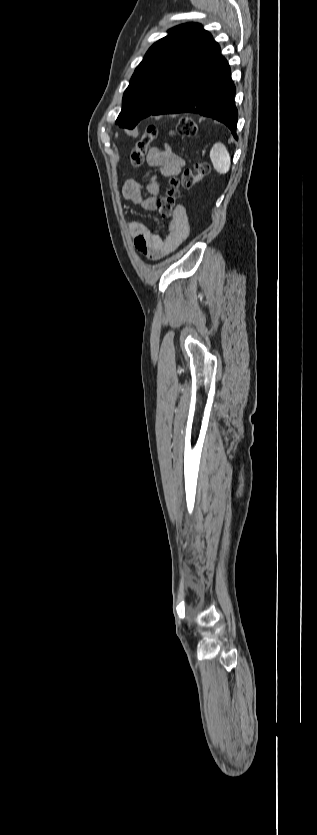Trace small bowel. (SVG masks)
I'll list each match as a JSON object with an SVG mask.
<instances>
[{"instance_id": "obj_1", "label": "small bowel", "mask_w": 317, "mask_h": 835, "mask_svg": "<svg viewBox=\"0 0 317 835\" xmlns=\"http://www.w3.org/2000/svg\"><path fill=\"white\" fill-rule=\"evenodd\" d=\"M146 161L154 169L145 184L146 194L142 186L132 179L123 182L121 192L126 200L146 211H154L157 208V197L162 190V178L177 177L184 168L185 161L169 148H151L146 155ZM128 229L135 248L147 260H158L175 251L187 238L189 224L184 208L180 207L165 237L153 233L145 224L135 220L128 222Z\"/></svg>"}]
</instances>
